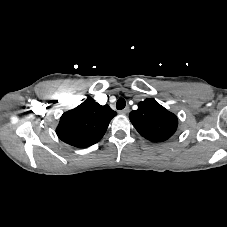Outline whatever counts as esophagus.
<instances>
[{
    "label": "esophagus",
    "mask_w": 227,
    "mask_h": 227,
    "mask_svg": "<svg viewBox=\"0 0 227 227\" xmlns=\"http://www.w3.org/2000/svg\"><path fill=\"white\" fill-rule=\"evenodd\" d=\"M128 112H129V107H125L124 109L119 111V113L122 115H126Z\"/></svg>",
    "instance_id": "esophagus-1"
}]
</instances>
